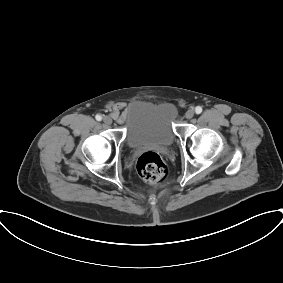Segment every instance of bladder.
<instances>
[{
  "mask_svg": "<svg viewBox=\"0 0 283 283\" xmlns=\"http://www.w3.org/2000/svg\"><path fill=\"white\" fill-rule=\"evenodd\" d=\"M177 109L171 102L136 101L127 111L126 143L130 148L168 147L175 141Z\"/></svg>",
  "mask_w": 283,
  "mask_h": 283,
  "instance_id": "1",
  "label": "bladder"
}]
</instances>
